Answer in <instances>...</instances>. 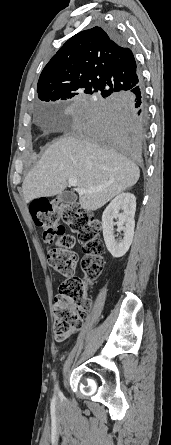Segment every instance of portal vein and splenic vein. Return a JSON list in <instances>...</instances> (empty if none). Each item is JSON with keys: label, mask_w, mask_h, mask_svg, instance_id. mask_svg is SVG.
I'll list each match as a JSON object with an SVG mask.
<instances>
[{"label": "portal vein and splenic vein", "mask_w": 171, "mask_h": 445, "mask_svg": "<svg viewBox=\"0 0 171 445\" xmlns=\"http://www.w3.org/2000/svg\"><path fill=\"white\" fill-rule=\"evenodd\" d=\"M68 184H69L70 186L77 187V180L74 179V178H70V179H68ZM76 190H77L79 196H82V195H84L85 193L98 192V191L101 190V188H93V189H90V190H85V189H83V188H77Z\"/></svg>", "instance_id": "portal-vein-and-splenic-vein-1"}]
</instances>
